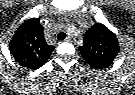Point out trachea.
<instances>
[{"label":"trachea","instance_id":"trachea-1","mask_svg":"<svg viewBox=\"0 0 135 95\" xmlns=\"http://www.w3.org/2000/svg\"><path fill=\"white\" fill-rule=\"evenodd\" d=\"M66 38V34L64 32H60L58 35H57V39L62 41Z\"/></svg>","mask_w":135,"mask_h":95}]
</instances>
